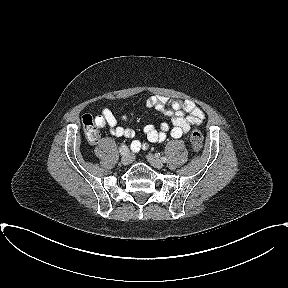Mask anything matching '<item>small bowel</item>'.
<instances>
[{"label":"small bowel","instance_id":"obj_1","mask_svg":"<svg viewBox=\"0 0 288 288\" xmlns=\"http://www.w3.org/2000/svg\"><path fill=\"white\" fill-rule=\"evenodd\" d=\"M146 105L149 108L163 111L170 118L171 123H162L159 128L151 124L146 125L143 131L147 141L133 139L130 145L133 152L147 149L149 143L163 142L168 134L173 138H181L188 133L192 125H200L205 117L204 112L191 100L179 101L164 96H151L147 99ZM126 119L127 116L123 115L122 120ZM95 124L99 128L107 127L109 132L116 137L132 139L135 136L132 128L118 124L116 116L108 108H104L101 114L96 116Z\"/></svg>","mask_w":288,"mask_h":288}]
</instances>
